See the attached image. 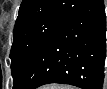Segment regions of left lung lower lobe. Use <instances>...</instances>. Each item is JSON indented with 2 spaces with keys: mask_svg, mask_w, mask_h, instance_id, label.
Returning a JSON list of instances; mask_svg holds the SVG:
<instances>
[{
  "mask_svg": "<svg viewBox=\"0 0 107 89\" xmlns=\"http://www.w3.org/2000/svg\"><path fill=\"white\" fill-rule=\"evenodd\" d=\"M106 6L88 0L42 44L14 84L34 89L48 83L101 89L106 49Z\"/></svg>",
  "mask_w": 107,
  "mask_h": 89,
  "instance_id": "0a47b994",
  "label": "left lung lower lobe"
}]
</instances>
